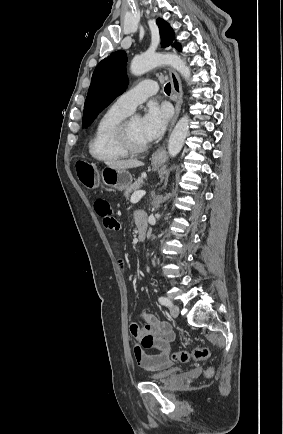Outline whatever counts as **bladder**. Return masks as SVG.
<instances>
[{
    "label": "bladder",
    "instance_id": "bladder-1",
    "mask_svg": "<svg viewBox=\"0 0 283 434\" xmlns=\"http://www.w3.org/2000/svg\"><path fill=\"white\" fill-rule=\"evenodd\" d=\"M176 372V368H169L162 371L150 373L147 375V378L153 381H163L173 377Z\"/></svg>",
    "mask_w": 283,
    "mask_h": 434
}]
</instances>
